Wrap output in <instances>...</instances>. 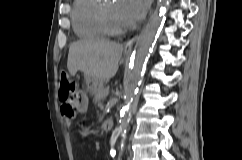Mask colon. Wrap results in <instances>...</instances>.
<instances>
[{"mask_svg":"<svg viewBox=\"0 0 242 160\" xmlns=\"http://www.w3.org/2000/svg\"><path fill=\"white\" fill-rule=\"evenodd\" d=\"M60 90L59 98L63 102L62 114L67 118L76 115L79 105L85 101V94L76 83L66 74L61 73L59 77Z\"/></svg>","mask_w":242,"mask_h":160,"instance_id":"obj_1","label":"colon"}]
</instances>
